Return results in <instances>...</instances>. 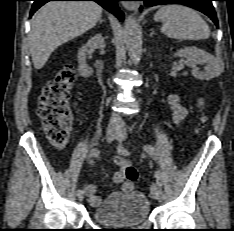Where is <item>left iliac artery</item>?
I'll return each instance as SVG.
<instances>
[{"label": "left iliac artery", "instance_id": "left-iliac-artery-1", "mask_svg": "<svg viewBox=\"0 0 234 231\" xmlns=\"http://www.w3.org/2000/svg\"><path fill=\"white\" fill-rule=\"evenodd\" d=\"M144 150L148 154H150L155 161H157L158 155H157V152H156V150H155L154 147H152L151 145H145L144 146ZM118 152L121 155H125V156L129 155L128 150L122 144H119V146H118ZM155 176H156V180H157V185L159 187V190H158V199L159 200H163L164 199V195H163V192H162V189H161L162 188V184H163V179H162V174H161L160 170H158L156 172Z\"/></svg>", "mask_w": 234, "mask_h": 231}]
</instances>
